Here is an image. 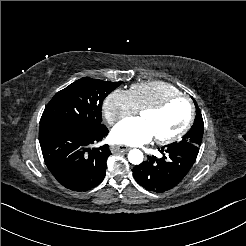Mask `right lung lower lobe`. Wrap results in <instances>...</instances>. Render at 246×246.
Returning a JSON list of instances; mask_svg holds the SVG:
<instances>
[{
	"label": "right lung lower lobe",
	"mask_w": 246,
	"mask_h": 246,
	"mask_svg": "<svg viewBox=\"0 0 246 246\" xmlns=\"http://www.w3.org/2000/svg\"><path fill=\"white\" fill-rule=\"evenodd\" d=\"M107 134L103 124L95 128L72 123L40 125L39 141L48 169L68 189L87 191L96 187L105 176L111 152L108 145L91 146Z\"/></svg>",
	"instance_id": "obj_1"
}]
</instances>
